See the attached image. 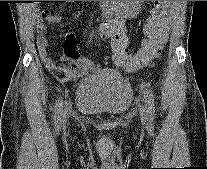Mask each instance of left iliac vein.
<instances>
[{"label":"left iliac vein","instance_id":"4c4485c4","mask_svg":"<svg viewBox=\"0 0 207 169\" xmlns=\"http://www.w3.org/2000/svg\"><path fill=\"white\" fill-rule=\"evenodd\" d=\"M140 116H141L142 122L145 124L147 122L148 118H147V115H146L144 109H141Z\"/></svg>","mask_w":207,"mask_h":169}]
</instances>
